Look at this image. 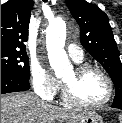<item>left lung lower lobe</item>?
Returning a JSON list of instances; mask_svg holds the SVG:
<instances>
[{"mask_svg": "<svg viewBox=\"0 0 122 123\" xmlns=\"http://www.w3.org/2000/svg\"><path fill=\"white\" fill-rule=\"evenodd\" d=\"M111 107L113 108H118V109H121L122 110V101H115Z\"/></svg>", "mask_w": 122, "mask_h": 123, "instance_id": "0a47b994", "label": "left lung lower lobe"}]
</instances>
